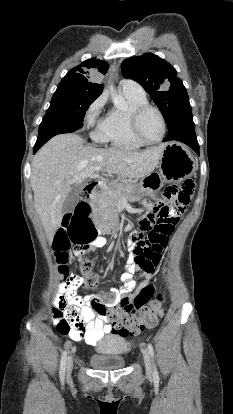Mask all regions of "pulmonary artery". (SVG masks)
<instances>
[{"label":"pulmonary artery","mask_w":233,"mask_h":414,"mask_svg":"<svg viewBox=\"0 0 233 414\" xmlns=\"http://www.w3.org/2000/svg\"><path fill=\"white\" fill-rule=\"evenodd\" d=\"M120 88L122 91L131 92L135 94H145L142 86L130 79H124L120 82Z\"/></svg>","instance_id":"obj_1"}]
</instances>
